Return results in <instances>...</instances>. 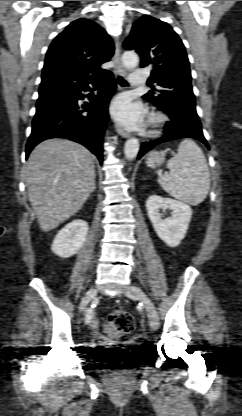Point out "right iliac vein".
Wrapping results in <instances>:
<instances>
[{"label":"right iliac vein","mask_w":242,"mask_h":416,"mask_svg":"<svg viewBox=\"0 0 242 416\" xmlns=\"http://www.w3.org/2000/svg\"><path fill=\"white\" fill-rule=\"evenodd\" d=\"M97 295V291L96 289L92 288L90 289L87 294L85 295V297L82 299V302L80 304V310L83 311L86 309L87 304L89 303V301Z\"/></svg>","instance_id":"63e3f726"}]
</instances>
